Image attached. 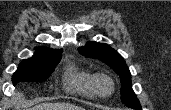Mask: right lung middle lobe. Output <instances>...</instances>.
<instances>
[{
  "label": "right lung middle lobe",
  "mask_w": 171,
  "mask_h": 110,
  "mask_svg": "<svg viewBox=\"0 0 171 110\" xmlns=\"http://www.w3.org/2000/svg\"><path fill=\"white\" fill-rule=\"evenodd\" d=\"M60 60L61 56L46 60H39L34 58L24 60L19 65L18 70L13 74L12 82L15 85L20 81H44L50 76Z\"/></svg>",
  "instance_id": "obj_1"
}]
</instances>
